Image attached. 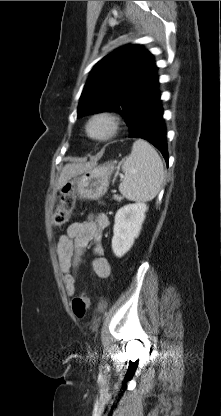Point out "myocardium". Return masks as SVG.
<instances>
[{
  "label": "myocardium",
  "instance_id": "obj_1",
  "mask_svg": "<svg viewBox=\"0 0 221 416\" xmlns=\"http://www.w3.org/2000/svg\"><path fill=\"white\" fill-rule=\"evenodd\" d=\"M96 124L103 125V130L99 133L93 131V127ZM85 130L90 139L100 142L107 141L117 134L119 130V119L109 111L96 112L88 119Z\"/></svg>",
  "mask_w": 221,
  "mask_h": 416
}]
</instances>
